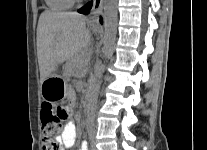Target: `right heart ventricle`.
<instances>
[{
    "mask_svg": "<svg viewBox=\"0 0 207 150\" xmlns=\"http://www.w3.org/2000/svg\"><path fill=\"white\" fill-rule=\"evenodd\" d=\"M48 8L52 11H66L73 7L74 0H45Z\"/></svg>",
    "mask_w": 207,
    "mask_h": 150,
    "instance_id": "1",
    "label": "right heart ventricle"
}]
</instances>
